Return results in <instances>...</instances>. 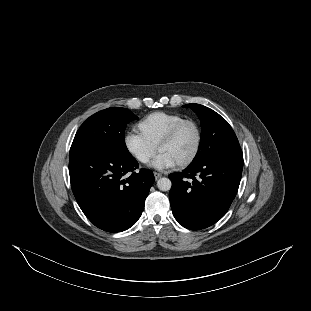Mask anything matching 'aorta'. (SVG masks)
Here are the masks:
<instances>
[{
  "mask_svg": "<svg viewBox=\"0 0 311 311\" xmlns=\"http://www.w3.org/2000/svg\"><path fill=\"white\" fill-rule=\"evenodd\" d=\"M172 182L169 178L163 177L157 181V187L161 191H169L171 189Z\"/></svg>",
  "mask_w": 311,
  "mask_h": 311,
  "instance_id": "obj_1",
  "label": "aorta"
}]
</instances>
